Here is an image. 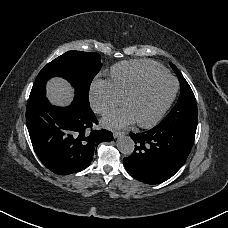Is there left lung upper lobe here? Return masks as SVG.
I'll return each mask as SVG.
<instances>
[{"mask_svg": "<svg viewBox=\"0 0 228 228\" xmlns=\"http://www.w3.org/2000/svg\"><path fill=\"white\" fill-rule=\"evenodd\" d=\"M170 65L180 82V96L177 104L158 126L197 128V104L193 91L178 68L172 63Z\"/></svg>", "mask_w": 228, "mask_h": 228, "instance_id": "left-lung-upper-lobe-1", "label": "left lung upper lobe"}]
</instances>
